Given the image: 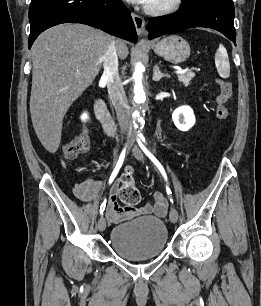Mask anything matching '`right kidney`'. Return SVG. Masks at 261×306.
<instances>
[{"label":"right kidney","instance_id":"ca27d5eb","mask_svg":"<svg viewBox=\"0 0 261 306\" xmlns=\"http://www.w3.org/2000/svg\"><path fill=\"white\" fill-rule=\"evenodd\" d=\"M81 119L82 121H86L88 119V115L86 113H84L82 116H81Z\"/></svg>","mask_w":261,"mask_h":306}]
</instances>
